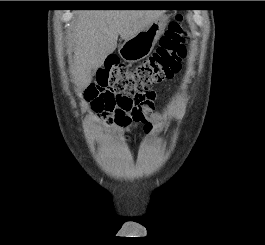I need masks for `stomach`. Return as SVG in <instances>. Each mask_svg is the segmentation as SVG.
Masks as SVG:
<instances>
[{
	"mask_svg": "<svg viewBox=\"0 0 265 245\" xmlns=\"http://www.w3.org/2000/svg\"><path fill=\"white\" fill-rule=\"evenodd\" d=\"M167 20L168 17L162 15L135 36L124 41L118 49L120 57L128 63H135L149 56L163 34Z\"/></svg>",
	"mask_w": 265,
	"mask_h": 245,
	"instance_id": "0dacf381",
	"label": "stomach"
}]
</instances>
